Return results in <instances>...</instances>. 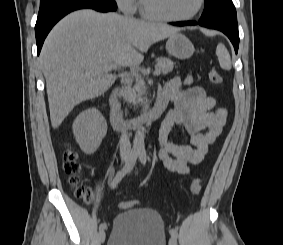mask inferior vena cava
<instances>
[{
  "label": "inferior vena cava",
  "mask_w": 283,
  "mask_h": 245,
  "mask_svg": "<svg viewBox=\"0 0 283 245\" xmlns=\"http://www.w3.org/2000/svg\"><path fill=\"white\" fill-rule=\"evenodd\" d=\"M131 153V143L128 133L123 130L120 136V156L122 159L128 158Z\"/></svg>",
  "instance_id": "inferior-vena-cava-1"
}]
</instances>
